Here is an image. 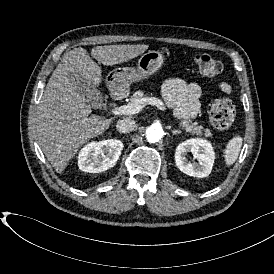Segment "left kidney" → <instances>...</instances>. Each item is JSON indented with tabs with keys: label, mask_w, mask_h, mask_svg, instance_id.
<instances>
[{
	"label": "left kidney",
	"mask_w": 274,
	"mask_h": 274,
	"mask_svg": "<svg viewBox=\"0 0 274 274\" xmlns=\"http://www.w3.org/2000/svg\"><path fill=\"white\" fill-rule=\"evenodd\" d=\"M188 152L193 154L198 162L191 163L186 158ZM215 160L212 144L205 139L192 138L180 143L175 151V163L180 171L193 177H207Z\"/></svg>",
	"instance_id": "1"
}]
</instances>
